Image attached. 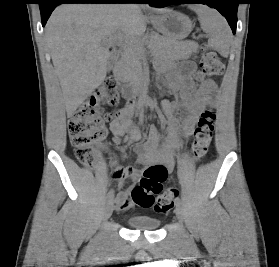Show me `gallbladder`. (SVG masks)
I'll list each match as a JSON object with an SVG mask.
<instances>
[{
  "instance_id": "bac80fb5",
  "label": "gallbladder",
  "mask_w": 279,
  "mask_h": 267,
  "mask_svg": "<svg viewBox=\"0 0 279 267\" xmlns=\"http://www.w3.org/2000/svg\"><path fill=\"white\" fill-rule=\"evenodd\" d=\"M113 67V58L110 57L107 62V71H110Z\"/></svg>"
}]
</instances>
